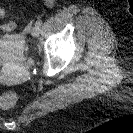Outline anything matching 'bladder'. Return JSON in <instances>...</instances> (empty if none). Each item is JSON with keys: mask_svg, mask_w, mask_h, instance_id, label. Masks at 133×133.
Here are the masks:
<instances>
[{"mask_svg": "<svg viewBox=\"0 0 133 133\" xmlns=\"http://www.w3.org/2000/svg\"><path fill=\"white\" fill-rule=\"evenodd\" d=\"M17 61L16 54L11 50L10 52L1 50L0 48V64L3 62L14 63Z\"/></svg>", "mask_w": 133, "mask_h": 133, "instance_id": "bladder-1", "label": "bladder"}]
</instances>
